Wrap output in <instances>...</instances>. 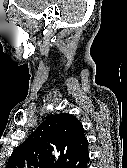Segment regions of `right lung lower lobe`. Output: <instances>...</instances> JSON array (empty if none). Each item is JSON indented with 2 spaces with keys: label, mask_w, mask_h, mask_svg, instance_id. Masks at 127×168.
I'll use <instances>...</instances> for the list:
<instances>
[{
  "label": "right lung lower lobe",
  "mask_w": 127,
  "mask_h": 168,
  "mask_svg": "<svg viewBox=\"0 0 127 168\" xmlns=\"http://www.w3.org/2000/svg\"><path fill=\"white\" fill-rule=\"evenodd\" d=\"M89 157L86 158L81 164L76 166V168H87V163H88Z\"/></svg>",
  "instance_id": "1"
}]
</instances>
